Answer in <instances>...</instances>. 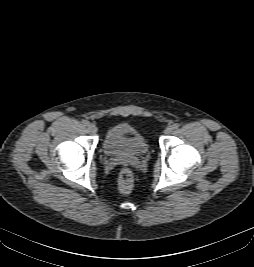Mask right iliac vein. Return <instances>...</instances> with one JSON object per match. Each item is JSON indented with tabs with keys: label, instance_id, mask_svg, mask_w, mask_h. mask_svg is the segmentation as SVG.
I'll return each instance as SVG.
<instances>
[{
	"label": "right iliac vein",
	"instance_id": "obj_1",
	"mask_svg": "<svg viewBox=\"0 0 254 267\" xmlns=\"http://www.w3.org/2000/svg\"><path fill=\"white\" fill-rule=\"evenodd\" d=\"M88 130H89L91 133H96L98 129H97V127H96L95 124H93V123H89V124H88Z\"/></svg>",
	"mask_w": 254,
	"mask_h": 267
}]
</instances>
